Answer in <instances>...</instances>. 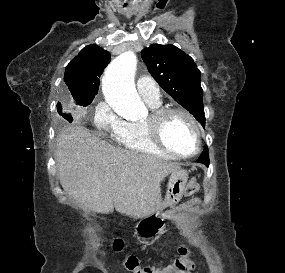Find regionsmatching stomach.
I'll use <instances>...</instances> for the list:
<instances>
[{
	"label": "stomach",
	"instance_id": "stomach-1",
	"mask_svg": "<svg viewBox=\"0 0 285 273\" xmlns=\"http://www.w3.org/2000/svg\"><path fill=\"white\" fill-rule=\"evenodd\" d=\"M187 179L188 172L184 169L180 168L170 173L166 195L161 209L173 207L180 201L187 183ZM159 222H163V219H161L158 214L153 217L146 218L137 225V231L142 236L148 237L156 235L162 230V227L156 228Z\"/></svg>",
	"mask_w": 285,
	"mask_h": 273
}]
</instances>
